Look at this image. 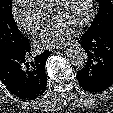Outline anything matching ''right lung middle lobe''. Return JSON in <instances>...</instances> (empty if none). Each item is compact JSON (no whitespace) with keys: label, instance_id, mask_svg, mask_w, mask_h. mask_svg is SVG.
I'll return each instance as SVG.
<instances>
[{"label":"right lung middle lobe","instance_id":"obj_1","mask_svg":"<svg viewBox=\"0 0 113 113\" xmlns=\"http://www.w3.org/2000/svg\"><path fill=\"white\" fill-rule=\"evenodd\" d=\"M11 12L12 0H0V57L26 38L18 29Z\"/></svg>","mask_w":113,"mask_h":113}]
</instances>
